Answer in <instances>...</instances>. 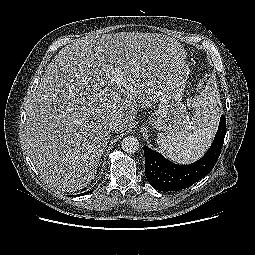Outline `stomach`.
Masks as SVG:
<instances>
[{"label":"stomach","instance_id":"stomach-1","mask_svg":"<svg viewBox=\"0 0 255 255\" xmlns=\"http://www.w3.org/2000/svg\"><path fill=\"white\" fill-rule=\"evenodd\" d=\"M189 72L190 67L186 62L173 81L165 85L156 110L148 117V122L156 130L169 135H183L192 130L186 106L182 102Z\"/></svg>","mask_w":255,"mask_h":255}]
</instances>
